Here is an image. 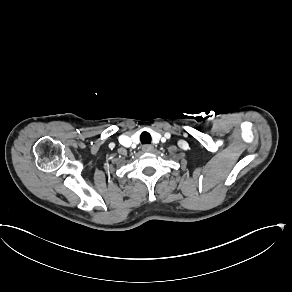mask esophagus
<instances>
[{
  "instance_id": "obj_1",
  "label": "esophagus",
  "mask_w": 292,
  "mask_h": 292,
  "mask_svg": "<svg viewBox=\"0 0 292 292\" xmlns=\"http://www.w3.org/2000/svg\"><path fill=\"white\" fill-rule=\"evenodd\" d=\"M142 150H143L144 152L149 153V152H153L154 147H153V145H151V144H145V145L142 146Z\"/></svg>"
}]
</instances>
